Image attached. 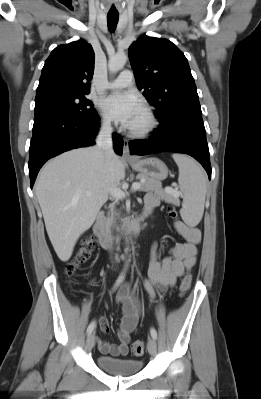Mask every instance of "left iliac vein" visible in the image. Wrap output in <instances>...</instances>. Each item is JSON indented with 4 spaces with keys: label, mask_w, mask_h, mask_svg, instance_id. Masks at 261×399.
<instances>
[{
    "label": "left iliac vein",
    "mask_w": 261,
    "mask_h": 399,
    "mask_svg": "<svg viewBox=\"0 0 261 399\" xmlns=\"http://www.w3.org/2000/svg\"><path fill=\"white\" fill-rule=\"evenodd\" d=\"M147 348L149 353L154 356L157 352V344L154 338L148 340Z\"/></svg>",
    "instance_id": "left-iliac-vein-1"
}]
</instances>
